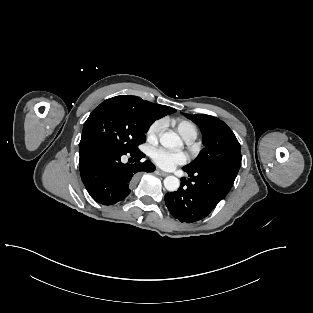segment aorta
<instances>
[{
    "mask_svg": "<svg viewBox=\"0 0 313 313\" xmlns=\"http://www.w3.org/2000/svg\"><path fill=\"white\" fill-rule=\"evenodd\" d=\"M159 140L163 147L169 148V149L179 147L182 144L179 136L175 132L163 133L160 135ZM163 183H164V187L170 192H174L178 190L180 186V181L175 176H167L164 179Z\"/></svg>",
    "mask_w": 313,
    "mask_h": 313,
    "instance_id": "aorta-1",
    "label": "aorta"
}]
</instances>
